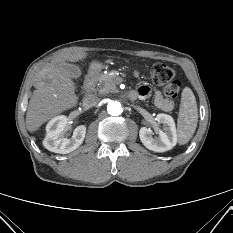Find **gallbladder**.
I'll use <instances>...</instances> for the list:
<instances>
[{
  "instance_id": "gallbladder-1",
  "label": "gallbladder",
  "mask_w": 233,
  "mask_h": 233,
  "mask_svg": "<svg viewBox=\"0 0 233 233\" xmlns=\"http://www.w3.org/2000/svg\"><path fill=\"white\" fill-rule=\"evenodd\" d=\"M62 67L72 78H78L81 75V69L74 64H64Z\"/></svg>"
}]
</instances>
